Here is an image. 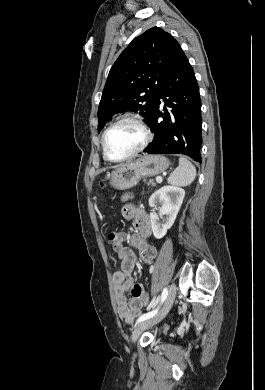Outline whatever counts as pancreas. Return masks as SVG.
<instances>
[{"mask_svg":"<svg viewBox=\"0 0 265 390\" xmlns=\"http://www.w3.org/2000/svg\"><path fill=\"white\" fill-rule=\"evenodd\" d=\"M148 185L155 186L154 180H153V179H150V180L148 181Z\"/></svg>","mask_w":265,"mask_h":390,"instance_id":"pancreas-1","label":"pancreas"}]
</instances>
